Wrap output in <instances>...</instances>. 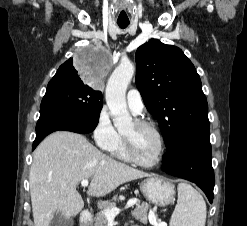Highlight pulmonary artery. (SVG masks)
Instances as JSON below:
<instances>
[{
    "mask_svg": "<svg viewBox=\"0 0 247 226\" xmlns=\"http://www.w3.org/2000/svg\"><path fill=\"white\" fill-rule=\"evenodd\" d=\"M127 104L134 114H140L143 110L144 104L140 92L137 89H130L127 92Z\"/></svg>",
    "mask_w": 247,
    "mask_h": 226,
    "instance_id": "e3ab8cb5",
    "label": "pulmonary artery"
}]
</instances>
